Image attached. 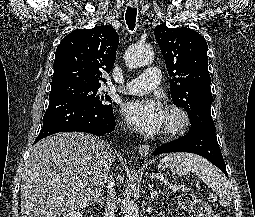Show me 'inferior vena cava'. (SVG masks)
Masks as SVG:
<instances>
[{
    "mask_svg": "<svg viewBox=\"0 0 255 217\" xmlns=\"http://www.w3.org/2000/svg\"><path fill=\"white\" fill-rule=\"evenodd\" d=\"M106 181L108 182L107 189H108V199L106 201V207H105V217H114L115 212V202H116V193L114 190L115 182L110 176L109 178H106Z\"/></svg>",
    "mask_w": 255,
    "mask_h": 217,
    "instance_id": "inferior-vena-cava-1",
    "label": "inferior vena cava"
}]
</instances>
